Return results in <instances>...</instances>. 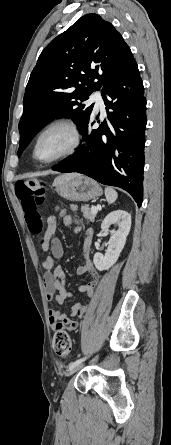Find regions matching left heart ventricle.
Returning <instances> with one entry per match:
<instances>
[{
	"mask_svg": "<svg viewBox=\"0 0 171 445\" xmlns=\"http://www.w3.org/2000/svg\"><path fill=\"white\" fill-rule=\"evenodd\" d=\"M70 143V134L65 129H54L46 133L37 147V155L42 160L51 159L64 151Z\"/></svg>",
	"mask_w": 171,
	"mask_h": 445,
	"instance_id": "b2bd125f",
	"label": "left heart ventricle"
}]
</instances>
